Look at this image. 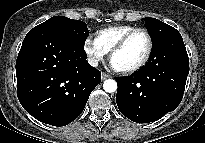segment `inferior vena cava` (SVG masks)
<instances>
[{
	"label": "inferior vena cava",
	"mask_w": 205,
	"mask_h": 143,
	"mask_svg": "<svg viewBox=\"0 0 205 143\" xmlns=\"http://www.w3.org/2000/svg\"><path fill=\"white\" fill-rule=\"evenodd\" d=\"M88 63L93 67H97L98 66V59H96L95 57H89Z\"/></svg>",
	"instance_id": "inferior-vena-cava-1"
}]
</instances>
